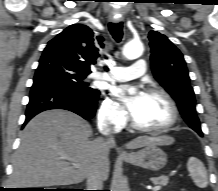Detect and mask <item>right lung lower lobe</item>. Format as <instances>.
Masks as SVG:
<instances>
[{
  "label": "right lung lower lobe",
  "mask_w": 218,
  "mask_h": 191,
  "mask_svg": "<svg viewBox=\"0 0 218 191\" xmlns=\"http://www.w3.org/2000/svg\"><path fill=\"white\" fill-rule=\"evenodd\" d=\"M98 94L75 91L54 79L34 80L27 105L24 125L38 113L50 109H65L89 120L95 115Z\"/></svg>",
  "instance_id": "1"
}]
</instances>
